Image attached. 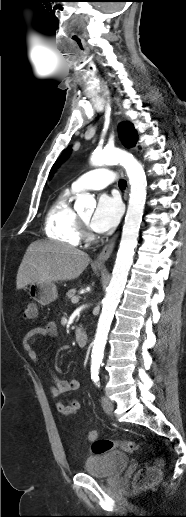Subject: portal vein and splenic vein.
<instances>
[{
    "mask_svg": "<svg viewBox=\"0 0 186 517\" xmlns=\"http://www.w3.org/2000/svg\"><path fill=\"white\" fill-rule=\"evenodd\" d=\"M71 301H72V303H74V304H75V303H78V302H79V298H78V297H73V298L71 299Z\"/></svg>",
    "mask_w": 186,
    "mask_h": 517,
    "instance_id": "1",
    "label": "portal vein and splenic vein"
}]
</instances>
